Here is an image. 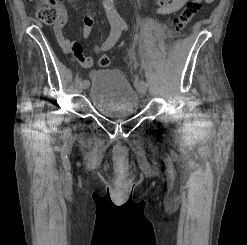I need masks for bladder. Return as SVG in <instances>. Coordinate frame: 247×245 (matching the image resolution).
I'll use <instances>...</instances> for the list:
<instances>
[{
    "instance_id": "1",
    "label": "bladder",
    "mask_w": 247,
    "mask_h": 245,
    "mask_svg": "<svg viewBox=\"0 0 247 245\" xmlns=\"http://www.w3.org/2000/svg\"><path fill=\"white\" fill-rule=\"evenodd\" d=\"M89 85V99L102 115L128 116L139 110V95L122 71L94 69L90 73Z\"/></svg>"
}]
</instances>
